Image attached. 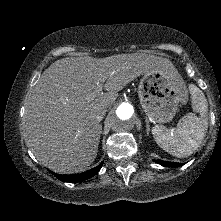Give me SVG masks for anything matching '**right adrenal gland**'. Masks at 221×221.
Returning <instances> with one entry per match:
<instances>
[{"instance_id":"right-adrenal-gland-1","label":"right adrenal gland","mask_w":221,"mask_h":221,"mask_svg":"<svg viewBox=\"0 0 221 221\" xmlns=\"http://www.w3.org/2000/svg\"><path fill=\"white\" fill-rule=\"evenodd\" d=\"M100 127H101V132H102V125H100Z\"/></svg>"}]
</instances>
